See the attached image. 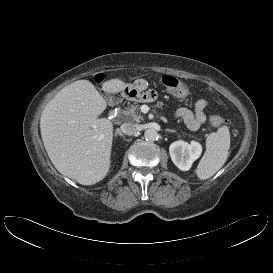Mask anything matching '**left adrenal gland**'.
Here are the masks:
<instances>
[{"instance_id": "obj_1", "label": "left adrenal gland", "mask_w": 273, "mask_h": 273, "mask_svg": "<svg viewBox=\"0 0 273 273\" xmlns=\"http://www.w3.org/2000/svg\"><path fill=\"white\" fill-rule=\"evenodd\" d=\"M166 132L173 133V132H175V131H174V130L167 129Z\"/></svg>"}]
</instances>
